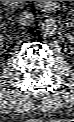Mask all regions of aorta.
Segmentation results:
<instances>
[{
    "label": "aorta",
    "mask_w": 74,
    "mask_h": 122,
    "mask_svg": "<svg viewBox=\"0 0 74 122\" xmlns=\"http://www.w3.org/2000/svg\"><path fill=\"white\" fill-rule=\"evenodd\" d=\"M44 36H52L57 32V23L54 19H46L41 26Z\"/></svg>",
    "instance_id": "obj_1"
}]
</instances>
